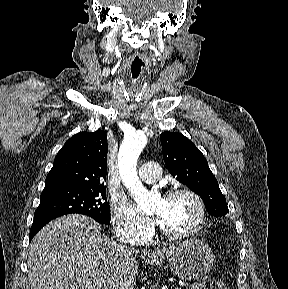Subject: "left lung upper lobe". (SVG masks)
Returning <instances> with one entry per match:
<instances>
[{
  "label": "left lung upper lobe",
  "mask_w": 288,
  "mask_h": 289,
  "mask_svg": "<svg viewBox=\"0 0 288 289\" xmlns=\"http://www.w3.org/2000/svg\"><path fill=\"white\" fill-rule=\"evenodd\" d=\"M160 139L164 162L171 175L203 199L209 214L226 215L229 212L226 199L201 151L178 132L162 133Z\"/></svg>",
  "instance_id": "obj_1"
}]
</instances>
